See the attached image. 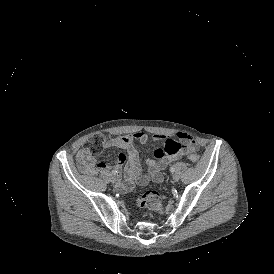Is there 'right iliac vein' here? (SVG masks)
Masks as SVG:
<instances>
[{
	"mask_svg": "<svg viewBox=\"0 0 274 274\" xmlns=\"http://www.w3.org/2000/svg\"><path fill=\"white\" fill-rule=\"evenodd\" d=\"M111 182H112L113 184H115V183L117 182V178H116L115 176H113V177L111 178Z\"/></svg>",
	"mask_w": 274,
	"mask_h": 274,
	"instance_id": "63e3f726",
	"label": "right iliac vein"
}]
</instances>
